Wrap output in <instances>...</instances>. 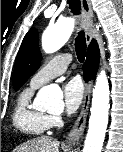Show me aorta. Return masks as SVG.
Instances as JSON below:
<instances>
[{
    "instance_id": "aorta-1",
    "label": "aorta",
    "mask_w": 123,
    "mask_h": 152,
    "mask_svg": "<svg viewBox=\"0 0 123 152\" xmlns=\"http://www.w3.org/2000/svg\"><path fill=\"white\" fill-rule=\"evenodd\" d=\"M74 19L62 18L45 29L42 35V49L51 54L59 50L74 30ZM109 83L104 70L96 79L93 89L91 116L83 152H101L108 124ZM40 110L55 111L63 107L62 92L52 86L43 87L36 98Z\"/></svg>"
}]
</instances>
